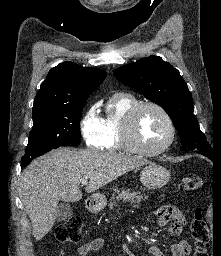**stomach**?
Segmentation results:
<instances>
[{
    "mask_svg": "<svg viewBox=\"0 0 221 256\" xmlns=\"http://www.w3.org/2000/svg\"><path fill=\"white\" fill-rule=\"evenodd\" d=\"M170 180V172L163 166L155 163L147 164L140 172V181L148 189H159ZM89 209L100 212L106 206V198L102 194H94L89 198Z\"/></svg>",
    "mask_w": 221,
    "mask_h": 256,
    "instance_id": "stomach-1",
    "label": "stomach"
}]
</instances>
